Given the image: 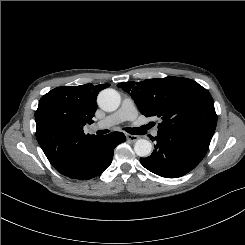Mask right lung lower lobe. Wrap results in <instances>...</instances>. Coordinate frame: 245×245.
I'll use <instances>...</instances> for the list:
<instances>
[{
    "label": "right lung lower lobe",
    "mask_w": 245,
    "mask_h": 245,
    "mask_svg": "<svg viewBox=\"0 0 245 245\" xmlns=\"http://www.w3.org/2000/svg\"><path fill=\"white\" fill-rule=\"evenodd\" d=\"M126 140L121 132H112L100 136L81 154L70 167L58 170L61 174L72 179H91L104 170L112 162L114 148Z\"/></svg>",
    "instance_id": "98d812e1"
}]
</instances>
